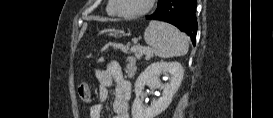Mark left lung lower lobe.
<instances>
[{"label":"left lung lower lobe","instance_id":"0a47b994","mask_svg":"<svg viewBox=\"0 0 273 118\" xmlns=\"http://www.w3.org/2000/svg\"><path fill=\"white\" fill-rule=\"evenodd\" d=\"M196 0H161L156 11L146 16L149 20L168 22L187 33L195 45L197 33Z\"/></svg>","mask_w":273,"mask_h":118}]
</instances>
